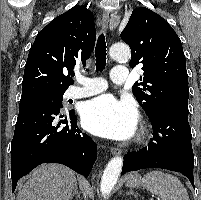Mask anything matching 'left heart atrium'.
Masks as SVG:
<instances>
[{
	"label": "left heart atrium",
	"instance_id": "left-heart-atrium-1",
	"mask_svg": "<svg viewBox=\"0 0 201 200\" xmlns=\"http://www.w3.org/2000/svg\"><path fill=\"white\" fill-rule=\"evenodd\" d=\"M82 124L99 136L124 140L137 129L138 115L130 101H119L111 95H102L88 101L81 111Z\"/></svg>",
	"mask_w": 201,
	"mask_h": 200
}]
</instances>
